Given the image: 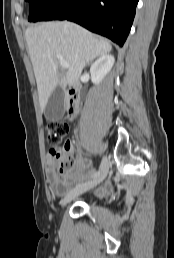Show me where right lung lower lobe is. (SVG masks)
Wrapping results in <instances>:
<instances>
[{
	"mask_svg": "<svg viewBox=\"0 0 174 258\" xmlns=\"http://www.w3.org/2000/svg\"><path fill=\"white\" fill-rule=\"evenodd\" d=\"M139 0H53L41 21L70 20L123 46Z\"/></svg>",
	"mask_w": 174,
	"mask_h": 258,
	"instance_id": "right-lung-lower-lobe-1",
	"label": "right lung lower lobe"
}]
</instances>
